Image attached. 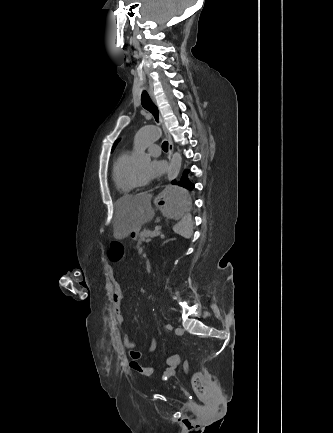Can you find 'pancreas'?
Instances as JSON below:
<instances>
[{
	"instance_id": "cf45deb5",
	"label": "pancreas",
	"mask_w": 333,
	"mask_h": 433,
	"mask_svg": "<svg viewBox=\"0 0 333 433\" xmlns=\"http://www.w3.org/2000/svg\"><path fill=\"white\" fill-rule=\"evenodd\" d=\"M156 230H161V226H155V230L154 231H150V230H142L139 235H138V243H137V247H139L145 240L146 238L153 232H156Z\"/></svg>"
}]
</instances>
